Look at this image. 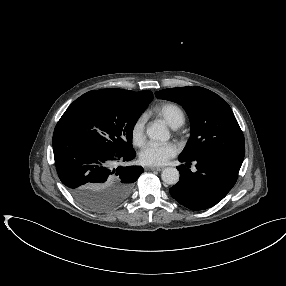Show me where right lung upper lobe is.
Here are the masks:
<instances>
[{"mask_svg":"<svg viewBox=\"0 0 286 286\" xmlns=\"http://www.w3.org/2000/svg\"><path fill=\"white\" fill-rule=\"evenodd\" d=\"M106 90L129 99L147 100V101H151L153 99V93L149 90H144L140 92H134L130 90H123L116 88H108Z\"/></svg>","mask_w":286,"mask_h":286,"instance_id":"cb5924a9","label":"right lung upper lobe"}]
</instances>
